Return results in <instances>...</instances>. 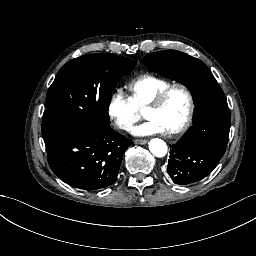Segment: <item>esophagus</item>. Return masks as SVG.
<instances>
[{
    "instance_id": "obj_1",
    "label": "esophagus",
    "mask_w": 256,
    "mask_h": 256,
    "mask_svg": "<svg viewBox=\"0 0 256 256\" xmlns=\"http://www.w3.org/2000/svg\"><path fill=\"white\" fill-rule=\"evenodd\" d=\"M135 144H146L148 143L147 139H137L134 141Z\"/></svg>"
}]
</instances>
